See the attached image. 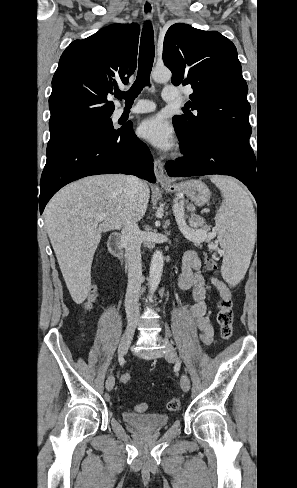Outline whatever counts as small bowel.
Segmentation results:
<instances>
[{
	"label": "small bowel",
	"mask_w": 297,
	"mask_h": 488,
	"mask_svg": "<svg viewBox=\"0 0 297 488\" xmlns=\"http://www.w3.org/2000/svg\"><path fill=\"white\" fill-rule=\"evenodd\" d=\"M201 266V259L196 251H186L182 257L178 285L182 290L192 291L194 303L188 307V312L196 327L202 331V342L208 345L213 339L214 329L207 306V295L215 290L221 298L231 299V291L225 282L216 277L205 279L201 273Z\"/></svg>",
	"instance_id": "c3829d8e"
}]
</instances>
